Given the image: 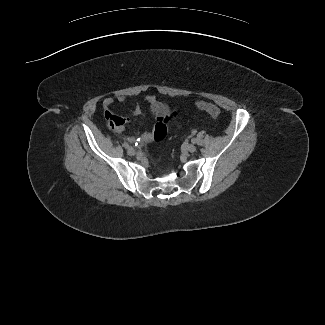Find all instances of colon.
<instances>
[{
	"instance_id": "colon-1",
	"label": "colon",
	"mask_w": 325,
	"mask_h": 325,
	"mask_svg": "<svg viewBox=\"0 0 325 325\" xmlns=\"http://www.w3.org/2000/svg\"><path fill=\"white\" fill-rule=\"evenodd\" d=\"M196 106L197 108L210 114L212 117L219 116V109L214 104L205 101H197Z\"/></svg>"
}]
</instances>
